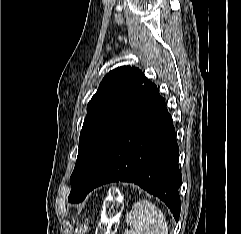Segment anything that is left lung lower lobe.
<instances>
[{"label":"left lung lower lobe","instance_id":"obj_1","mask_svg":"<svg viewBox=\"0 0 241 234\" xmlns=\"http://www.w3.org/2000/svg\"><path fill=\"white\" fill-rule=\"evenodd\" d=\"M179 147L165 100L151 84L124 121L88 188L110 182H133L158 196L179 220Z\"/></svg>","mask_w":241,"mask_h":234}]
</instances>
